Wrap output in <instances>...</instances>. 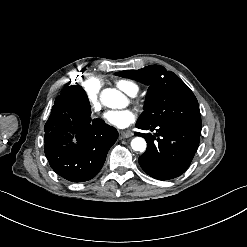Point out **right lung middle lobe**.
Listing matches in <instances>:
<instances>
[{
	"label": "right lung middle lobe",
	"mask_w": 247,
	"mask_h": 247,
	"mask_svg": "<svg viewBox=\"0 0 247 247\" xmlns=\"http://www.w3.org/2000/svg\"><path fill=\"white\" fill-rule=\"evenodd\" d=\"M67 91L70 94H73L74 96H76V98L86 107H90V103L88 100V97L86 95V92L84 91V89L79 86V85H72V86H68L66 87Z\"/></svg>",
	"instance_id": "1"
}]
</instances>
